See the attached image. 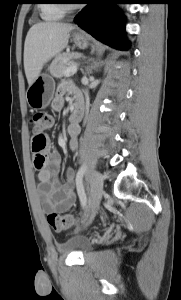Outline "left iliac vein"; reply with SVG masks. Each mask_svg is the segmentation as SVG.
I'll return each instance as SVG.
<instances>
[{"label": "left iliac vein", "mask_w": 181, "mask_h": 300, "mask_svg": "<svg viewBox=\"0 0 181 300\" xmlns=\"http://www.w3.org/2000/svg\"><path fill=\"white\" fill-rule=\"evenodd\" d=\"M103 194H104L103 176L99 172L94 171L91 176V194L89 197L90 203L84 221L85 224H89L91 220L94 218V216L96 215Z\"/></svg>", "instance_id": "obj_1"}]
</instances>
